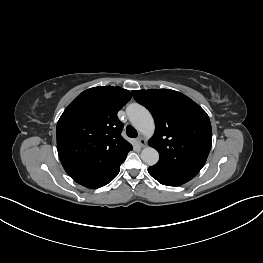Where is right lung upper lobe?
Here are the masks:
<instances>
[{
	"label": "right lung upper lobe",
	"instance_id": "1",
	"mask_svg": "<svg viewBox=\"0 0 263 263\" xmlns=\"http://www.w3.org/2000/svg\"><path fill=\"white\" fill-rule=\"evenodd\" d=\"M131 99L121 87H94L78 95L57 123V150L76 182L102 175L123 162L132 145L121 136L117 112Z\"/></svg>",
	"mask_w": 263,
	"mask_h": 263
}]
</instances>
